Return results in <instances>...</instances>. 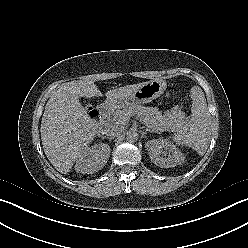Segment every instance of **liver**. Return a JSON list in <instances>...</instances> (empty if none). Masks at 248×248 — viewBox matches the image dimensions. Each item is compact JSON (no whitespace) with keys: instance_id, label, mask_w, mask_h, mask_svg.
Returning a JSON list of instances; mask_svg holds the SVG:
<instances>
[{"instance_id":"1","label":"liver","mask_w":248,"mask_h":248,"mask_svg":"<svg viewBox=\"0 0 248 248\" xmlns=\"http://www.w3.org/2000/svg\"><path fill=\"white\" fill-rule=\"evenodd\" d=\"M143 83L113 89L105 95L107 99L126 98ZM101 96L92 81L80 80L62 85L48 100L41 121V139L47 158L60 173L67 174L72 169L99 127L87 115L79 97Z\"/></svg>"}]
</instances>
